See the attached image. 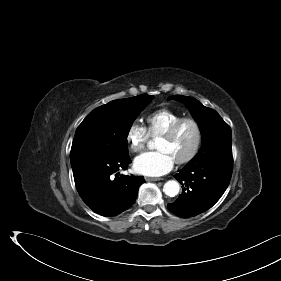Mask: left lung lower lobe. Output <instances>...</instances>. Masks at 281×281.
I'll use <instances>...</instances> for the list:
<instances>
[{"instance_id":"0a47b994","label":"left lung lower lobe","mask_w":281,"mask_h":281,"mask_svg":"<svg viewBox=\"0 0 281 281\" xmlns=\"http://www.w3.org/2000/svg\"><path fill=\"white\" fill-rule=\"evenodd\" d=\"M232 157H209L189 162L174 177L184 186L183 193L168 209L189 218L211 208L223 195L232 175Z\"/></svg>"}]
</instances>
